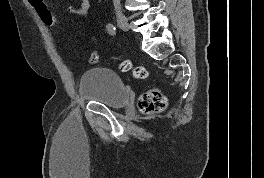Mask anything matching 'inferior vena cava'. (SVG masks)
<instances>
[{
	"instance_id": "602c4592",
	"label": "inferior vena cava",
	"mask_w": 264,
	"mask_h": 178,
	"mask_svg": "<svg viewBox=\"0 0 264 178\" xmlns=\"http://www.w3.org/2000/svg\"><path fill=\"white\" fill-rule=\"evenodd\" d=\"M113 4L116 12H120L121 11L120 0H113Z\"/></svg>"
}]
</instances>
